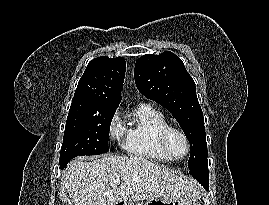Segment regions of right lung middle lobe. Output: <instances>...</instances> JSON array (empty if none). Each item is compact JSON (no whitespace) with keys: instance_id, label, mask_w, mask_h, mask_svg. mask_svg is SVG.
<instances>
[{"instance_id":"obj_1","label":"right lung middle lobe","mask_w":269,"mask_h":205,"mask_svg":"<svg viewBox=\"0 0 269 205\" xmlns=\"http://www.w3.org/2000/svg\"><path fill=\"white\" fill-rule=\"evenodd\" d=\"M114 112L70 109L67 117L60 161L80 155H97L109 151V130Z\"/></svg>"}]
</instances>
